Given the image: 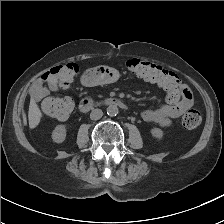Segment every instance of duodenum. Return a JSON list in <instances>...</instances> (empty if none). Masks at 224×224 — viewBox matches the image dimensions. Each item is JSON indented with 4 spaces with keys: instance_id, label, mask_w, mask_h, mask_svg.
I'll return each mask as SVG.
<instances>
[{
    "instance_id": "410a0bca",
    "label": "duodenum",
    "mask_w": 224,
    "mask_h": 224,
    "mask_svg": "<svg viewBox=\"0 0 224 224\" xmlns=\"http://www.w3.org/2000/svg\"><path fill=\"white\" fill-rule=\"evenodd\" d=\"M100 103L106 107H114V106H122L123 105V103L119 99L111 98V97L104 98L103 100H101ZM95 105H96V102L94 100H92L91 98H84L83 100H81V102L79 104V109L82 112H88Z\"/></svg>"
}]
</instances>
